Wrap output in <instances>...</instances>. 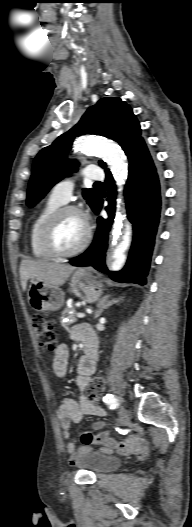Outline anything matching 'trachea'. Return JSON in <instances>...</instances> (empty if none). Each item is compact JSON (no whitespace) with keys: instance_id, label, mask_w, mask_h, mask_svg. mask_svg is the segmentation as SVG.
Masks as SVG:
<instances>
[{"instance_id":"obj_1","label":"trachea","mask_w":192,"mask_h":527,"mask_svg":"<svg viewBox=\"0 0 192 527\" xmlns=\"http://www.w3.org/2000/svg\"><path fill=\"white\" fill-rule=\"evenodd\" d=\"M94 185H95V186H101V185H102V183H101V182H99V181H97V182H95V184H94Z\"/></svg>"}]
</instances>
